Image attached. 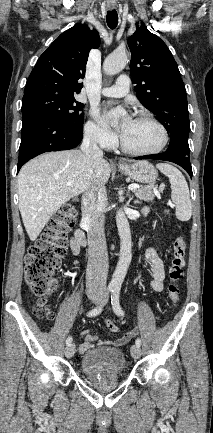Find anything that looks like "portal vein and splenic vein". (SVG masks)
Instances as JSON below:
<instances>
[{
	"label": "portal vein and splenic vein",
	"instance_id": "portal-vein-and-splenic-vein-1",
	"mask_svg": "<svg viewBox=\"0 0 213 433\" xmlns=\"http://www.w3.org/2000/svg\"><path fill=\"white\" fill-rule=\"evenodd\" d=\"M71 185H72L71 182H68V183H67V186H71ZM138 188H139V185H136V184H132V185H129V186H128V189H129V190H132V191H133V190H136V189H138Z\"/></svg>",
	"mask_w": 213,
	"mask_h": 433
}]
</instances>
